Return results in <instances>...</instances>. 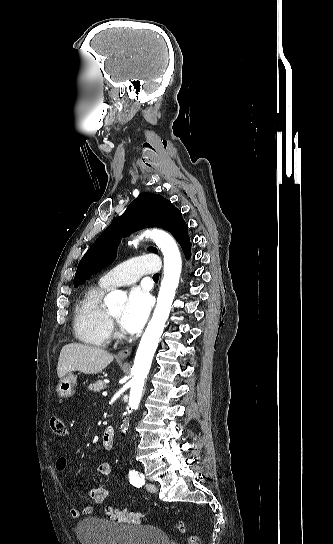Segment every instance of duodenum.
<instances>
[{"instance_id": "410a0bca", "label": "duodenum", "mask_w": 333, "mask_h": 544, "mask_svg": "<svg viewBox=\"0 0 333 544\" xmlns=\"http://www.w3.org/2000/svg\"><path fill=\"white\" fill-rule=\"evenodd\" d=\"M115 441V431L112 426H108L102 436V444L105 449L110 450L113 448Z\"/></svg>"}]
</instances>
